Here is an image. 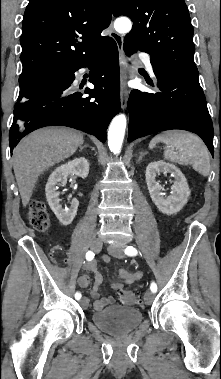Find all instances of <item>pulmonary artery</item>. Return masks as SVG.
Segmentation results:
<instances>
[{"label":"pulmonary artery","instance_id":"e3ab8cb5","mask_svg":"<svg viewBox=\"0 0 221 379\" xmlns=\"http://www.w3.org/2000/svg\"><path fill=\"white\" fill-rule=\"evenodd\" d=\"M139 58L143 61V63L146 66L147 70L150 73H153V66H152V62H151L150 56L148 54L141 53V54H139Z\"/></svg>","mask_w":221,"mask_h":379}]
</instances>
